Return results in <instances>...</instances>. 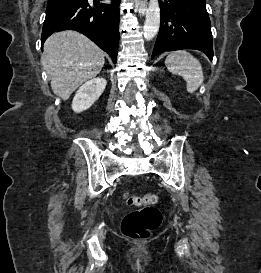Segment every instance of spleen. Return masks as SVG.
Here are the masks:
<instances>
[{"label": "spleen", "mask_w": 261, "mask_h": 273, "mask_svg": "<svg viewBox=\"0 0 261 273\" xmlns=\"http://www.w3.org/2000/svg\"><path fill=\"white\" fill-rule=\"evenodd\" d=\"M167 69L186 81L189 93H194L203 83L204 75L200 62L185 50L175 51L165 59Z\"/></svg>", "instance_id": "spleen-1"}]
</instances>
